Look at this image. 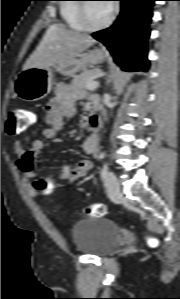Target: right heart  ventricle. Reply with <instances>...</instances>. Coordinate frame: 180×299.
<instances>
[{"label":"right heart ventricle","instance_id":"1","mask_svg":"<svg viewBox=\"0 0 180 299\" xmlns=\"http://www.w3.org/2000/svg\"><path fill=\"white\" fill-rule=\"evenodd\" d=\"M65 2L60 7V12L63 21L66 25L74 30L83 31V27L78 18V6L75 3L78 0H64Z\"/></svg>","mask_w":180,"mask_h":299}]
</instances>
